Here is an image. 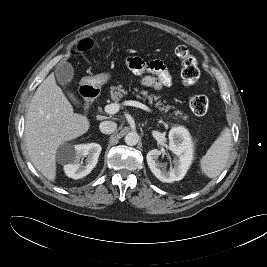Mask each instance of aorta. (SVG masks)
Masks as SVG:
<instances>
[{"instance_id":"762f6f07","label":"aorta","mask_w":267,"mask_h":267,"mask_svg":"<svg viewBox=\"0 0 267 267\" xmlns=\"http://www.w3.org/2000/svg\"><path fill=\"white\" fill-rule=\"evenodd\" d=\"M125 143L129 146H135L139 142V135L137 132H129L125 138Z\"/></svg>"}]
</instances>
